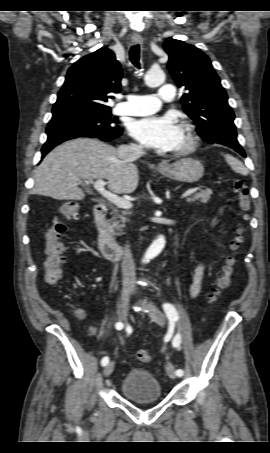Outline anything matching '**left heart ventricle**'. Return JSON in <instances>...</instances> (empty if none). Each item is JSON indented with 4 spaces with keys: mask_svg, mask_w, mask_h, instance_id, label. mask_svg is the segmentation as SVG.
Wrapping results in <instances>:
<instances>
[{
    "mask_svg": "<svg viewBox=\"0 0 270 453\" xmlns=\"http://www.w3.org/2000/svg\"><path fill=\"white\" fill-rule=\"evenodd\" d=\"M184 142H185V138H184V135H182V138H181V140H180V142H179L177 148L181 147V146L184 144ZM177 148H176V149H177Z\"/></svg>",
    "mask_w": 270,
    "mask_h": 453,
    "instance_id": "left-heart-ventricle-1",
    "label": "left heart ventricle"
}]
</instances>
